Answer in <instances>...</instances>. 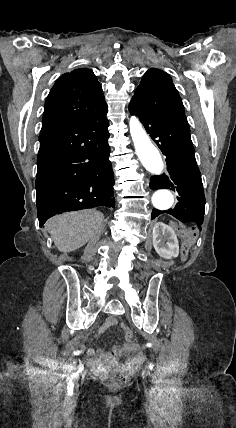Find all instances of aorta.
<instances>
[{"instance_id": "762f6f07", "label": "aorta", "mask_w": 236, "mask_h": 428, "mask_svg": "<svg viewBox=\"0 0 236 428\" xmlns=\"http://www.w3.org/2000/svg\"><path fill=\"white\" fill-rule=\"evenodd\" d=\"M130 134L134 143L135 151L142 165L153 175H161L164 163L157 148L150 141L149 136L143 129L140 121L132 116L129 121ZM174 203L171 191L162 189L156 191L152 196V204L156 210H168Z\"/></svg>"}]
</instances>
